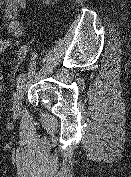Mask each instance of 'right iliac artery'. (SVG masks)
Instances as JSON below:
<instances>
[{
    "label": "right iliac artery",
    "instance_id": "right-iliac-artery-1",
    "mask_svg": "<svg viewBox=\"0 0 131 177\" xmlns=\"http://www.w3.org/2000/svg\"><path fill=\"white\" fill-rule=\"evenodd\" d=\"M27 76V73H23L17 78V88H19L26 81Z\"/></svg>",
    "mask_w": 131,
    "mask_h": 177
}]
</instances>
